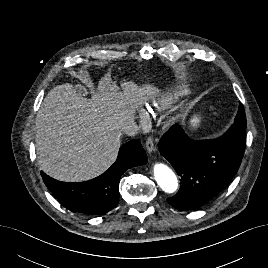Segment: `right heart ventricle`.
<instances>
[{"label": "right heart ventricle", "instance_id": "1", "mask_svg": "<svg viewBox=\"0 0 268 268\" xmlns=\"http://www.w3.org/2000/svg\"><path fill=\"white\" fill-rule=\"evenodd\" d=\"M174 101L173 96H162V97H158L155 101L153 106L156 109H164L169 107Z\"/></svg>", "mask_w": 268, "mask_h": 268}]
</instances>
